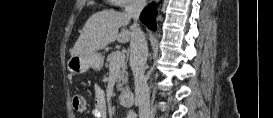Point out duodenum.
<instances>
[{"label":"duodenum","mask_w":273,"mask_h":118,"mask_svg":"<svg viewBox=\"0 0 273 118\" xmlns=\"http://www.w3.org/2000/svg\"><path fill=\"white\" fill-rule=\"evenodd\" d=\"M119 101L125 107H133L135 105V95L131 90H124L119 94Z\"/></svg>","instance_id":"obj_1"}]
</instances>
